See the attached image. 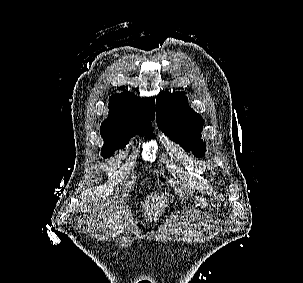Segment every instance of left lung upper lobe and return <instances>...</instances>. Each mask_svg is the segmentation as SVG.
<instances>
[{"label": "left lung upper lobe", "mask_w": 303, "mask_h": 283, "mask_svg": "<svg viewBox=\"0 0 303 283\" xmlns=\"http://www.w3.org/2000/svg\"><path fill=\"white\" fill-rule=\"evenodd\" d=\"M156 120L172 141L196 157L204 155L206 145L201 140L204 120L189 107L184 92H162L157 96Z\"/></svg>", "instance_id": "left-lung-upper-lobe-1"}]
</instances>
